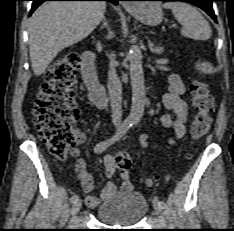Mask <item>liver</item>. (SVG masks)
I'll return each instance as SVG.
<instances>
[{
	"label": "liver",
	"mask_w": 234,
	"mask_h": 231,
	"mask_svg": "<svg viewBox=\"0 0 234 231\" xmlns=\"http://www.w3.org/2000/svg\"><path fill=\"white\" fill-rule=\"evenodd\" d=\"M103 1H51L29 20V52L33 72L40 76L63 49L88 37L104 18Z\"/></svg>",
	"instance_id": "1"
}]
</instances>
